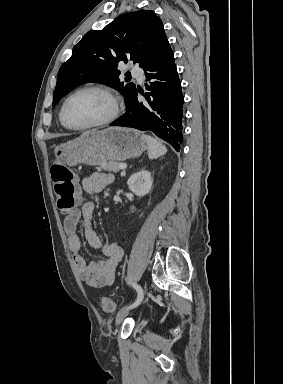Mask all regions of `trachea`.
<instances>
[{
	"label": "trachea",
	"mask_w": 283,
	"mask_h": 384,
	"mask_svg": "<svg viewBox=\"0 0 283 384\" xmlns=\"http://www.w3.org/2000/svg\"><path fill=\"white\" fill-rule=\"evenodd\" d=\"M126 77L131 78V75H127Z\"/></svg>",
	"instance_id": "obj_1"
}]
</instances>
